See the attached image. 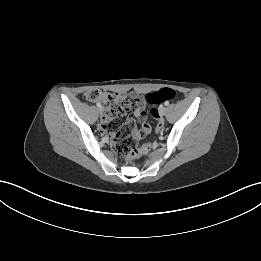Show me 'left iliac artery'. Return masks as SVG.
<instances>
[{
  "label": "left iliac artery",
  "instance_id": "obj_1",
  "mask_svg": "<svg viewBox=\"0 0 261 261\" xmlns=\"http://www.w3.org/2000/svg\"><path fill=\"white\" fill-rule=\"evenodd\" d=\"M164 104H165L166 106H168V105H169V101H165Z\"/></svg>",
  "mask_w": 261,
  "mask_h": 261
}]
</instances>
